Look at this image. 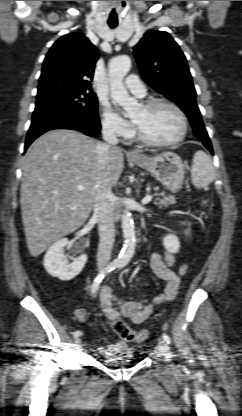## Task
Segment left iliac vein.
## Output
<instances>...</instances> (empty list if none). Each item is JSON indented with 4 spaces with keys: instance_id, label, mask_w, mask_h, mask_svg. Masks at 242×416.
I'll use <instances>...</instances> for the list:
<instances>
[{
    "instance_id": "obj_1",
    "label": "left iliac vein",
    "mask_w": 242,
    "mask_h": 416,
    "mask_svg": "<svg viewBox=\"0 0 242 416\" xmlns=\"http://www.w3.org/2000/svg\"><path fill=\"white\" fill-rule=\"evenodd\" d=\"M157 347H158V350L160 351V352H163V353H166V352H168V346H167V344L165 343V341L164 340H162V339H159L158 340V343H157Z\"/></svg>"
}]
</instances>
